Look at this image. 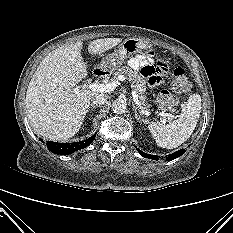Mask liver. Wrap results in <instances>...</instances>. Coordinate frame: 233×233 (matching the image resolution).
<instances>
[{
  "label": "liver",
  "instance_id": "1",
  "mask_svg": "<svg viewBox=\"0 0 233 233\" xmlns=\"http://www.w3.org/2000/svg\"><path fill=\"white\" fill-rule=\"evenodd\" d=\"M121 41L120 38L97 39L89 44L88 52L101 54ZM82 47L79 41L50 52L29 83L28 119L36 133L47 139L64 141L73 137L83 124L90 100L98 94L75 87L88 74L81 56ZM99 69L104 71L101 65Z\"/></svg>",
  "mask_w": 233,
  "mask_h": 233
}]
</instances>
